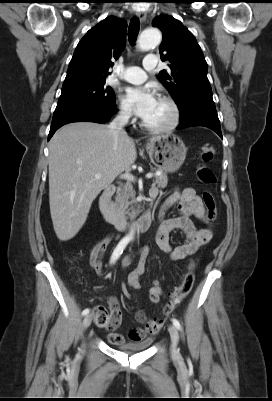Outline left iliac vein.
I'll list each match as a JSON object with an SVG mask.
<instances>
[{"label": "left iliac vein", "instance_id": "1", "mask_svg": "<svg viewBox=\"0 0 272 401\" xmlns=\"http://www.w3.org/2000/svg\"><path fill=\"white\" fill-rule=\"evenodd\" d=\"M168 331L171 337V353L174 357H179L180 353L178 350V340H179L178 330L174 325H170L168 327Z\"/></svg>", "mask_w": 272, "mask_h": 401}]
</instances>
